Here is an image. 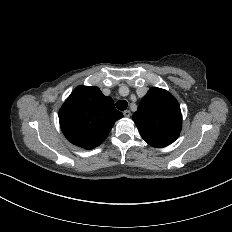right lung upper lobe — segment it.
<instances>
[{
  "mask_svg": "<svg viewBox=\"0 0 232 232\" xmlns=\"http://www.w3.org/2000/svg\"><path fill=\"white\" fill-rule=\"evenodd\" d=\"M122 117L111 97L98 87L89 86H78L59 111L63 134L72 144L84 149L99 146Z\"/></svg>",
  "mask_w": 232,
  "mask_h": 232,
  "instance_id": "right-lung-upper-lobe-1",
  "label": "right lung upper lobe"
}]
</instances>
